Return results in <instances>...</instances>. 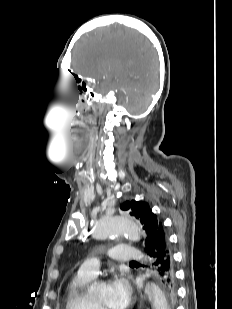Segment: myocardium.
Returning a JSON list of instances; mask_svg holds the SVG:
<instances>
[{
	"mask_svg": "<svg viewBox=\"0 0 232 309\" xmlns=\"http://www.w3.org/2000/svg\"><path fill=\"white\" fill-rule=\"evenodd\" d=\"M92 300H93V303H94L96 309H108L107 307L102 305L97 299H95V297H92Z\"/></svg>",
	"mask_w": 232,
	"mask_h": 309,
	"instance_id": "myocardium-1",
	"label": "myocardium"
}]
</instances>
